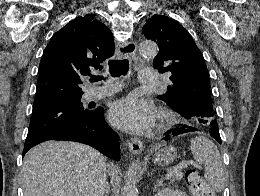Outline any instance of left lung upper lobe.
Segmentation results:
<instances>
[{"label":"left lung upper lobe","mask_w":260,"mask_h":196,"mask_svg":"<svg viewBox=\"0 0 260 196\" xmlns=\"http://www.w3.org/2000/svg\"><path fill=\"white\" fill-rule=\"evenodd\" d=\"M143 34L159 46L154 68L160 73H171L173 84L158 98L195 127L209 129L215 114L206 118L189 116V112L196 108L213 109L208 70L191 35L175 20L157 14L148 19Z\"/></svg>","instance_id":"1"}]
</instances>
